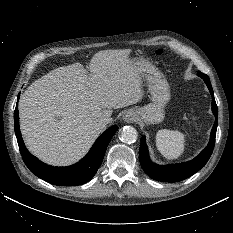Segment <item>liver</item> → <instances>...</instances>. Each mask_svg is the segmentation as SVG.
Masks as SVG:
<instances>
[{"instance_id":"1","label":"liver","mask_w":233,"mask_h":233,"mask_svg":"<svg viewBox=\"0 0 233 233\" xmlns=\"http://www.w3.org/2000/svg\"><path fill=\"white\" fill-rule=\"evenodd\" d=\"M130 52L99 51L89 72L79 62L59 67L25 90L19 100L20 128L32 154L51 165H71L102 132L99 118L142 99L143 68Z\"/></svg>"}]
</instances>
